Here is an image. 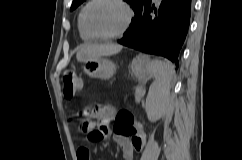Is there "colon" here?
<instances>
[{
	"label": "colon",
	"instance_id": "colon-1",
	"mask_svg": "<svg viewBox=\"0 0 242 160\" xmlns=\"http://www.w3.org/2000/svg\"><path fill=\"white\" fill-rule=\"evenodd\" d=\"M63 85V94L65 97L71 98L74 94L81 89L82 83L76 72L73 69H65L61 76ZM89 115H93L94 111L88 110ZM86 129L87 125H83ZM114 129L119 133H133L136 130V121L133 114L130 111H119L115 117ZM103 134L99 130L91 132L88 136L90 141H96L102 138Z\"/></svg>",
	"mask_w": 242,
	"mask_h": 160
}]
</instances>
